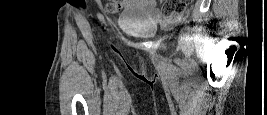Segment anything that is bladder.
I'll list each match as a JSON object with an SVG mask.
<instances>
[{
    "label": "bladder",
    "instance_id": "1",
    "mask_svg": "<svg viewBox=\"0 0 267 115\" xmlns=\"http://www.w3.org/2000/svg\"><path fill=\"white\" fill-rule=\"evenodd\" d=\"M122 29L136 37H151L156 32V28L153 25H122Z\"/></svg>",
    "mask_w": 267,
    "mask_h": 115
}]
</instances>
